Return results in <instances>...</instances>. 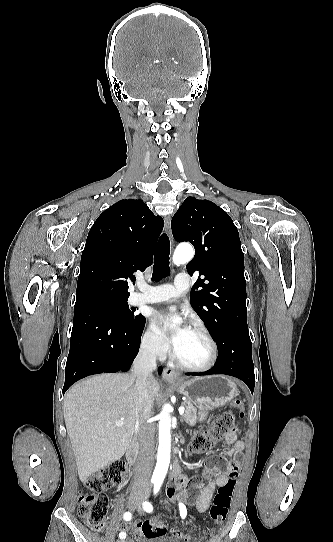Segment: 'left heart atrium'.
<instances>
[{"label": "left heart atrium", "instance_id": "obj_1", "mask_svg": "<svg viewBox=\"0 0 333 542\" xmlns=\"http://www.w3.org/2000/svg\"><path fill=\"white\" fill-rule=\"evenodd\" d=\"M158 321L160 323V325L164 328V324H165V316H159L158 317ZM189 329V327L185 326L183 329H181L180 331H177V332H173V333H167V337H168V340H169V343H170V346L173 347L177 344L178 342V337L179 335L185 331Z\"/></svg>", "mask_w": 333, "mask_h": 542}]
</instances>
